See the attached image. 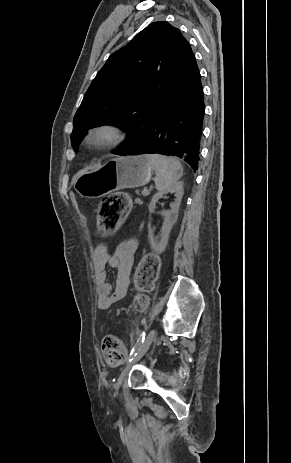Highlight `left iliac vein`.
Returning <instances> with one entry per match:
<instances>
[{"label": "left iliac vein", "instance_id": "left-iliac-vein-1", "mask_svg": "<svg viewBox=\"0 0 291 463\" xmlns=\"http://www.w3.org/2000/svg\"><path fill=\"white\" fill-rule=\"evenodd\" d=\"M155 334H156V330L155 329H152L146 339L144 340L143 344L141 345L140 349L138 350V352L136 353V355L133 356L132 358V361L128 362L125 367L123 368V370L121 371L120 375H119V378H118V381L116 383V388H119L123 381L125 380V378L127 377L131 367L136 363L138 362L144 355L145 353L148 351L154 337H155Z\"/></svg>", "mask_w": 291, "mask_h": 463}]
</instances>
